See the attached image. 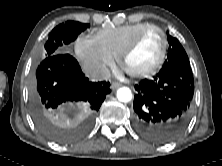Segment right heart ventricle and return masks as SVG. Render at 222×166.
Here are the masks:
<instances>
[{
    "mask_svg": "<svg viewBox=\"0 0 222 166\" xmlns=\"http://www.w3.org/2000/svg\"><path fill=\"white\" fill-rule=\"evenodd\" d=\"M148 23H137L116 28H108L97 31L93 38L98 45L110 56L118 57L125 46L139 33L147 27Z\"/></svg>",
    "mask_w": 222,
    "mask_h": 166,
    "instance_id": "e07e8e85",
    "label": "right heart ventricle"
}]
</instances>
